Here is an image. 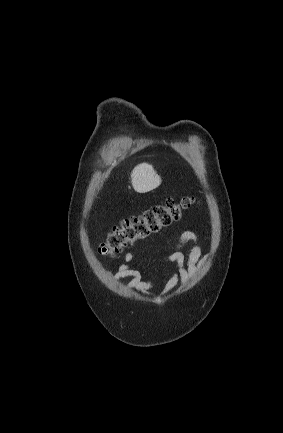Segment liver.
Wrapping results in <instances>:
<instances>
[{
	"label": "liver",
	"mask_w": 283,
	"mask_h": 433,
	"mask_svg": "<svg viewBox=\"0 0 283 433\" xmlns=\"http://www.w3.org/2000/svg\"><path fill=\"white\" fill-rule=\"evenodd\" d=\"M131 182L136 192H149L161 184V176L156 174L152 164L141 162L131 172Z\"/></svg>",
	"instance_id": "1"
}]
</instances>
